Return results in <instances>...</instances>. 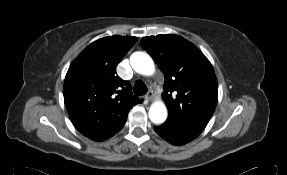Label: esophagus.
<instances>
[{
	"label": "esophagus",
	"mask_w": 287,
	"mask_h": 175,
	"mask_svg": "<svg viewBox=\"0 0 287 175\" xmlns=\"http://www.w3.org/2000/svg\"><path fill=\"white\" fill-rule=\"evenodd\" d=\"M146 98H147L148 100H153V98H154V93H153V91H149V92L147 93V95H146Z\"/></svg>",
	"instance_id": "obj_1"
}]
</instances>
